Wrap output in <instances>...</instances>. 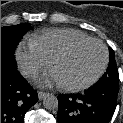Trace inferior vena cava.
Listing matches in <instances>:
<instances>
[{
  "instance_id": "602c4592",
  "label": "inferior vena cava",
  "mask_w": 123,
  "mask_h": 123,
  "mask_svg": "<svg viewBox=\"0 0 123 123\" xmlns=\"http://www.w3.org/2000/svg\"><path fill=\"white\" fill-rule=\"evenodd\" d=\"M37 70H34V69H27V70H24L22 72V74L26 77H30V76H33V75H37Z\"/></svg>"
}]
</instances>
